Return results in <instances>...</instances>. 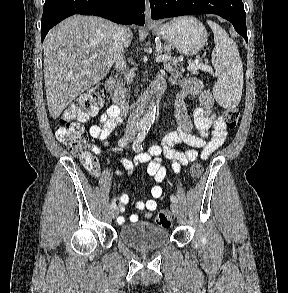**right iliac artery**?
<instances>
[{
  "label": "right iliac artery",
  "instance_id": "obj_1",
  "mask_svg": "<svg viewBox=\"0 0 288 293\" xmlns=\"http://www.w3.org/2000/svg\"><path fill=\"white\" fill-rule=\"evenodd\" d=\"M138 130H140V128H138ZM127 143H128V138H127V137H123V138H121V139L118 141V145H119L120 147H125V146L127 145ZM110 207H111V209L116 208V202H115V200H113V201L111 202Z\"/></svg>",
  "mask_w": 288,
  "mask_h": 293
}]
</instances>
